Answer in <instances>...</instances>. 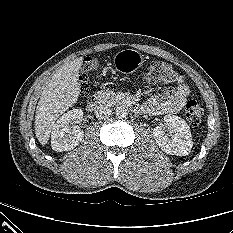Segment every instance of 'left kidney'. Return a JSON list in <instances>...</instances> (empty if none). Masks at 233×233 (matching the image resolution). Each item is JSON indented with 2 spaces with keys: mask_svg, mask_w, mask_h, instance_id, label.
Returning <instances> with one entry per match:
<instances>
[{
  "mask_svg": "<svg viewBox=\"0 0 233 233\" xmlns=\"http://www.w3.org/2000/svg\"><path fill=\"white\" fill-rule=\"evenodd\" d=\"M164 121L171 130V134L165 133L163 125L155 127L153 136L157 145L171 155H188L193 146L189 125L181 117L169 114L164 117Z\"/></svg>",
  "mask_w": 233,
  "mask_h": 233,
  "instance_id": "1",
  "label": "left kidney"
}]
</instances>
